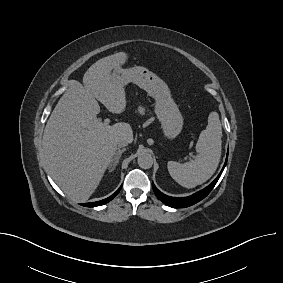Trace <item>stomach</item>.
I'll list each match as a JSON object with an SVG mask.
<instances>
[{"mask_svg": "<svg viewBox=\"0 0 283 283\" xmlns=\"http://www.w3.org/2000/svg\"><path fill=\"white\" fill-rule=\"evenodd\" d=\"M113 75L120 77L124 85L135 83L155 100L154 111L166 138L174 139L179 135L183 127V116L172 99L167 84L160 77L141 66L130 69L118 67L113 70Z\"/></svg>", "mask_w": 283, "mask_h": 283, "instance_id": "0dacf381", "label": "stomach"}]
</instances>
